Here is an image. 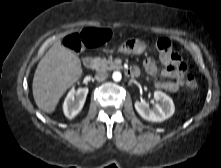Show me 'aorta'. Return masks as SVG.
<instances>
[{"label":"aorta","mask_w":221,"mask_h":168,"mask_svg":"<svg viewBox=\"0 0 221 168\" xmlns=\"http://www.w3.org/2000/svg\"><path fill=\"white\" fill-rule=\"evenodd\" d=\"M112 77H113V80H114V81L118 82V81H120V80H121L122 75H121V73H120V72L115 71V72L113 73Z\"/></svg>","instance_id":"obj_1"}]
</instances>
